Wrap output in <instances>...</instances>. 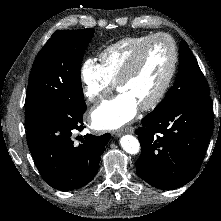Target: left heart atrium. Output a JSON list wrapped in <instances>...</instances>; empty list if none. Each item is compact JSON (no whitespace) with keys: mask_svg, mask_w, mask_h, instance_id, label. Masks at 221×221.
Instances as JSON below:
<instances>
[{"mask_svg":"<svg viewBox=\"0 0 221 221\" xmlns=\"http://www.w3.org/2000/svg\"><path fill=\"white\" fill-rule=\"evenodd\" d=\"M138 109L139 106L132 98L120 93L92 111V122L97 129L115 130L131 122Z\"/></svg>","mask_w":221,"mask_h":221,"instance_id":"39dd6f15","label":"left heart atrium"}]
</instances>
